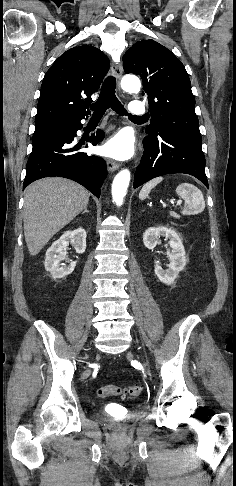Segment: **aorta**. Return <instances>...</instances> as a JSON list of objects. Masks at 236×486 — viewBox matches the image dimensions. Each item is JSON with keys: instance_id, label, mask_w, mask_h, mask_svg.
Segmentation results:
<instances>
[{"instance_id": "aorta-1", "label": "aorta", "mask_w": 236, "mask_h": 486, "mask_svg": "<svg viewBox=\"0 0 236 486\" xmlns=\"http://www.w3.org/2000/svg\"><path fill=\"white\" fill-rule=\"evenodd\" d=\"M122 89L130 92L137 93L140 91V80L135 76H125L121 81ZM130 182V171L128 169L121 170L114 178L112 184V198L117 206H121L124 201V197L127 192V188Z\"/></svg>"}]
</instances>
